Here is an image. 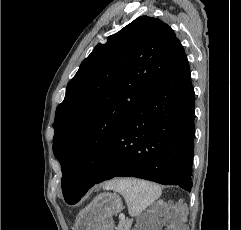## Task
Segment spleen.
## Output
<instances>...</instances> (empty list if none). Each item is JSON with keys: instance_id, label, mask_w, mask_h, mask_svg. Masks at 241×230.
<instances>
[{"instance_id": "obj_1", "label": "spleen", "mask_w": 241, "mask_h": 230, "mask_svg": "<svg viewBox=\"0 0 241 230\" xmlns=\"http://www.w3.org/2000/svg\"><path fill=\"white\" fill-rule=\"evenodd\" d=\"M104 189L120 193L125 199L129 214L133 217L140 215L161 195V188L157 184L132 178L107 182Z\"/></svg>"}]
</instances>
